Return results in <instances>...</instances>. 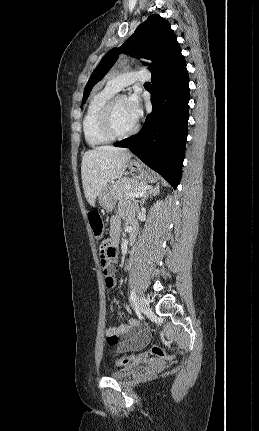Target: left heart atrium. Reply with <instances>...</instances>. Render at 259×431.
<instances>
[{"instance_id": "39dd6f15", "label": "left heart atrium", "mask_w": 259, "mask_h": 431, "mask_svg": "<svg viewBox=\"0 0 259 431\" xmlns=\"http://www.w3.org/2000/svg\"><path fill=\"white\" fill-rule=\"evenodd\" d=\"M126 108L130 117L136 122L142 115L140 97L137 93L131 94L126 98Z\"/></svg>"}]
</instances>
